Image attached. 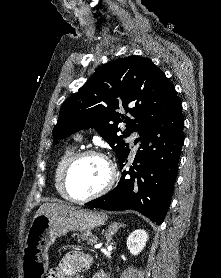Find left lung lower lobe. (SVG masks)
Segmentation results:
<instances>
[{"instance_id": "left-lung-lower-lobe-1", "label": "left lung lower lobe", "mask_w": 221, "mask_h": 278, "mask_svg": "<svg viewBox=\"0 0 221 278\" xmlns=\"http://www.w3.org/2000/svg\"><path fill=\"white\" fill-rule=\"evenodd\" d=\"M142 150L126 169L127 156L119 161L121 178L109 193L85 205L109 211L136 210L156 224L169 208L177 166L184 142L180 100L155 124L140 134ZM138 139L134 143H137Z\"/></svg>"}]
</instances>
